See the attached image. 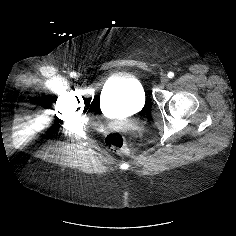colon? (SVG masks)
<instances>
[{"label": "colon", "mask_w": 236, "mask_h": 236, "mask_svg": "<svg viewBox=\"0 0 236 236\" xmlns=\"http://www.w3.org/2000/svg\"><path fill=\"white\" fill-rule=\"evenodd\" d=\"M105 143L112 151L118 154H128L129 148L125 137L119 132H111L105 138Z\"/></svg>", "instance_id": "obj_1"}]
</instances>
